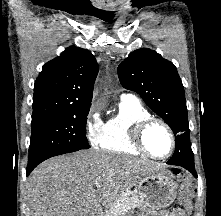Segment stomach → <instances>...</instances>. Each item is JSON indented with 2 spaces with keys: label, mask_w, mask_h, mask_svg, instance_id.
Masks as SVG:
<instances>
[{
  "label": "stomach",
  "mask_w": 221,
  "mask_h": 216,
  "mask_svg": "<svg viewBox=\"0 0 221 216\" xmlns=\"http://www.w3.org/2000/svg\"><path fill=\"white\" fill-rule=\"evenodd\" d=\"M178 184L170 171L155 172L143 177L137 184L138 207L153 212L170 206L177 197ZM124 216H140L138 211L131 210Z\"/></svg>",
  "instance_id": "obj_1"
}]
</instances>
